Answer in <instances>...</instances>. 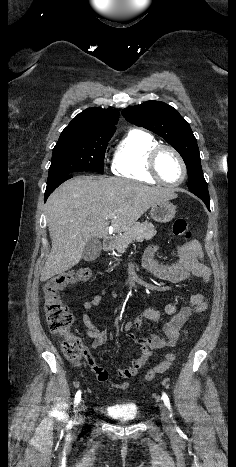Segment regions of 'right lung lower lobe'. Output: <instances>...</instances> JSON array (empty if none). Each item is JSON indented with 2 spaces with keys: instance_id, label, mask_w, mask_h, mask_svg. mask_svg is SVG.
Masks as SVG:
<instances>
[{
  "instance_id": "obj_1",
  "label": "right lung lower lobe",
  "mask_w": 236,
  "mask_h": 467,
  "mask_svg": "<svg viewBox=\"0 0 236 467\" xmlns=\"http://www.w3.org/2000/svg\"><path fill=\"white\" fill-rule=\"evenodd\" d=\"M72 177V174H69V175H64V176H61L53 181H50V182H47V188H46V191H45V196H44V201L47 200V198L49 197V195L60 185L62 184L64 181L70 179Z\"/></svg>"
}]
</instances>
